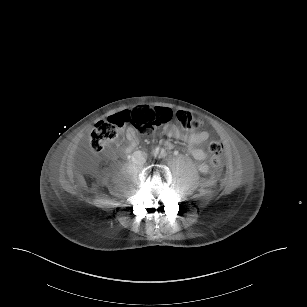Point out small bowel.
Here are the masks:
<instances>
[{
	"instance_id": "c3829d8e",
	"label": "small bowel",
	"mask_w": 307,
	"mask_h": 307,
	"mask_svg": "<svg viewBox=\"0 0 307 307\" xmlns=\"http://www.w3.org/2000/svg\"><path fill=\"white\" fill-rule=\"evenodd\" d=\"M164 133L166 136L184 141L188 145L190 154L198 161H203L206 159V152L198 148V145L206 142L209 139V133L207 131H195L190 133H183L178 127L174 125H166L164 127ZM126 137L128 140V149L134 148L138 144V137L136 131L132 128L127 130ZM167 147H171L170 143H166ZM198 169L201 172H206L208 166L205 163H200Z\"/></svg>"
}]
</instances>
